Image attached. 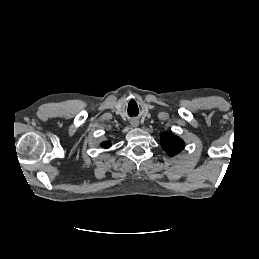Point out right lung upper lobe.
Returning <instances> with one entry per match:
<instances>
[{
	"label": "right lung upper lobe",
	"instance_id": "1",
	"mask_svg": "<svg viewBox=\"0 0 259 259\" xmlns=\"http://www.w3.org/2000/svg\"><path fill=\"white\" fill-rule=\"evenodd\" d=\"M101 146L103 148H109L111 146V143L109 141H106V142L101 143Z\"/></svg>",
	"mask_w": 259,
	"mask_h": 259
}]
</instances>
